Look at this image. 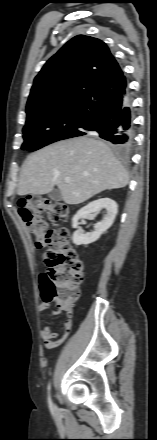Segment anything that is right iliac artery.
<instances>
[{
  "label": "right iliac artery",
  "instance_id": "obj_1",
  "mask_svg": "<svg viewBox=\"0 0 157 440\" xmlns=\"http://www.w3.org/2000/svg\"><path fill=\"white\" fill-rule=\"evenodd\" d=\"M50 389H51V385L49 384L48 385V391H50ZM48 403H49V407H50V410L52 411V413H55L56 408L53 405V402L51 400L50 394H49V397H48Z\"/></svg>",
  "mask_w": 157,
  "mask_h": 440
}]
</instances>
